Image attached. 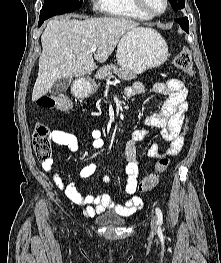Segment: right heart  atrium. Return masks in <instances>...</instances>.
<instances>
[{
	"label": "right heart atrium",
	"mask_w": 221,
	"mask_h": 263,
	"mask_svg": "<svg viewBox=\"0 0 221 263\" xmlns=\"http://www.w3.org/2000/svg\"><path fill=\"white\" fill-rule=\"evenodd\" d=\"M92 1V6L95 10L99 9V4L98 0H91Z\"/></svg>",
	"instance_id": "obj_1"
}]
</instances>
